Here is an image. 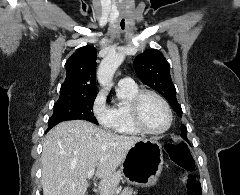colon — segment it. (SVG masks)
Returning a JSON list of instances; mask_svg holds the SVG:
<instances>
[{"label": "colon", "instance_id": "1", "mask_svg": "<svg viewBox=\"0 0 240 195\" xmlns=\"http://www.w3.org/2000/svg\"><path fill=\"white\" fill-rule=\"evenodd\" d=\"M168 156L176 163L179 167L192 170L195 165L194 157L190 152L189 146L186 142H181L178 145L171 144L167 146ZM182 182L188 184L187 195H202V185L194 175L183 176Z\"/></svg>", "mask_w": 240, "mask_h": 195}]
</instances>
